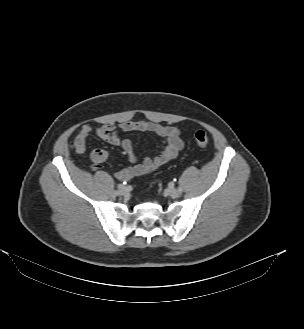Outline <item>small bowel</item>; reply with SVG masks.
I'll return each mask as SVG.
<instances>
[{
  "label": "small bowel",
  "instance_id": "obj_1",
  "mask_svg": "<svg viewBox=\"0 0 304 329\" xmlns=\"http://www.w3.org/2000/svg\"><path fill=\"white\" fill-rule=\"evenodd\" d=\"M92 127L88 124L83 125L76 134L73 146L78 154H84L86 149V140L92 132ZM119 130L123 132H150L165 140V146L155 158H144L140 160L134 152L133 144L129 139H122L119 136ZM96 134L99 138L112 145L119 146L128 156L133 166L121 169L115 173L117 179L129 181L136 177L144 176L160 165H163L173 158L183 147L180 132L173 126H165L152 121H125L118 127L113 125H100L96 128ZM93 163H102L110 158L108 151L103 149H94L90 155Z\"/></svg>",
  "mask_w": 304,
  "mask_h": 329
}]
</instances>
